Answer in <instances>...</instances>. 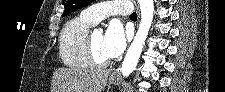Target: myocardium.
I'll return each mask as SVG.
<instances>
[{
	"label": "myocardium",
	"instance_id": "1",
	"mask_svg": "<svg viewBox=\"0 0 225 92\" xmlns=\"http://www.w3.org/2000/svg\"><path fill=\"white\" fill-rule=\"evenodd\" d=\"M86 51H87V56L91 65L100 67V68H103L109 65L108 60H102L97 56L92 45L91 35H88L86 39Z\"/></svg>",
	"mask_w": 225,
	"mask_h": 92
}]
</instances>
